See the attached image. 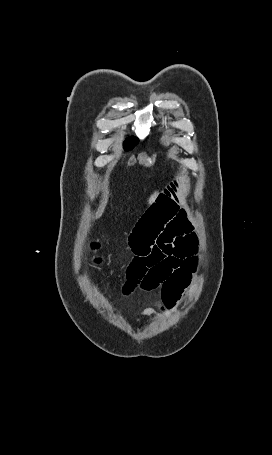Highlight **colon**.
Returning a JSON list of instances; mask_svg holds the SVG:
<instances>
[{"instance_id": "colon-1", "label": "colon", "mask_w": 272, "mask_h": 455, "mask_svg": "<svg viewBox=\"0 0 272 455\" xmlns=\"http://www.w3.org/2000/svg\"><path fill=\"white\" fill-rule=\"evenodd\" d=\"M89 249L91 252L95 253L100 249V244L96 241H93L89 245ZM102 261V258L100 256L95 255L93 258L94 263H100Z\"/></svg>"}]
</instances>
